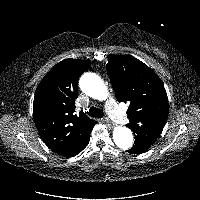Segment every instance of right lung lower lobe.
Here are the masks:
<instances>
[{
    "label": "right lung lower lobe",
    "mask_w": 200,
    "mask_h": 200,
    "mask_svg": "<svg viewBox=\"0 0 200 200\" xmlns=\"http://www.w3.org/2000/svg\"><path fill=\"white\" fill-rule=\"evenodd\" d=\"M90 133H91V131L89 132L88 136H87L86 139L84 140V142H83L81 148L79 149L78 153H80V152L88 145L89 140H90ZM78 153H77V154H78Z\"/></svg>",
    "instance_id": "obj_1"
}]
</instances>
